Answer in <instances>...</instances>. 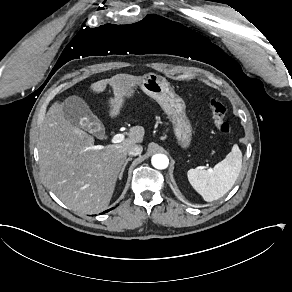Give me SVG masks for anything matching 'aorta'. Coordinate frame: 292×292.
I'll return each mask as SVG.
<instances>
[{"label":"aorta","mask_w":292,"mask_h":292,"mask_svg":"<svg viewBox=\"0 0 292 292\" xmlns=\"http://www.w3.org/2000/svg\"><path fill=\"white\" fill-rule=\"evenodd\" d=\"M152 165L159 170L166 169L169 165V159L162 154H156L152 157Z\"/></svg>","instance_id":"aorta-1"}]
</instances>
